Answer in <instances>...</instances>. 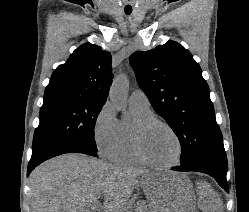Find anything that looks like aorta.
<instances>
[{"instance_id":"1","label":"aorta","mask_w":249,"mask_h":212,"mask_svg":"<svg viewBox=\"0 0 249 212\" xmlns=\"http://www.w3.org/2000/svg\"><path fill=\"white\" fill-rule=\"evenodd\" d=\"M129 81L125 74L114 78L110 88L109 97L118 110L124 109L128 94Z\"/></svg>"}]
</instances>
